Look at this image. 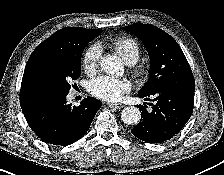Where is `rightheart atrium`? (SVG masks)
<instances>
[{
  "label": "right heart atrium",
  "instance_id": "right-heart-atrium-1",
  "mask_svg": "<svg viewBox=\"0 0 224 175\" xmlns=\"http://www.w3.org/2000/svg\"><path fill=\"white\" fill-rule=\"evenodd\" d=\"M102 56V48L99 44L89 46L83 55V68L86 73L94 74L97 72Z\"/></svg>",
  "mask_w": 224,
  "mask_h": 175
}]
</instances>
